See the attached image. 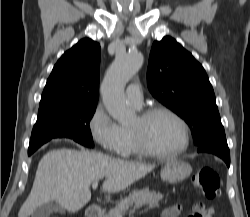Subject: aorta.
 <instances>
[{
  "mask_svg": "<svg viewBox=\"0 0 250 217\" xmlns=\"http://www.w3.org/2000/svg\"><path fill=\"white\" fill-rule=\"evenodd\" d=\"M143 58L138 52L117 55L101 84V95L109 115L121 124H129L134 115L128 109L124 93L127 82L138 72Z\"/></svg>",
  "mask_w": 250,
  "mask_h": 217,
  "instance_id": "obj_1",
  "label": "aorta"
}]
</instances>
